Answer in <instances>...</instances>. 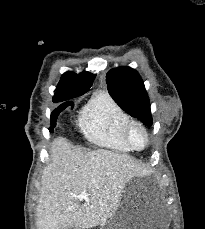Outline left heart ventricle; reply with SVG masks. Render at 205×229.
<instances>
[{
	"label": "left heart ventricle",
	"mask_w": 205,
	"mask_h": 229,
	"mask_svg": "<svg viewBox=\"0 0 205 229\" xmlns=\"http://www.w3.org/2000/svg\"><path fill=\"white\" fill-rule=\"evenodd\" d=\"M132 141L137 147H141L144 144V136L142 132L138 129H135L132 132Z\"/></svg>",
	"instance_id": "b2bd125f"
}]
</instances>
